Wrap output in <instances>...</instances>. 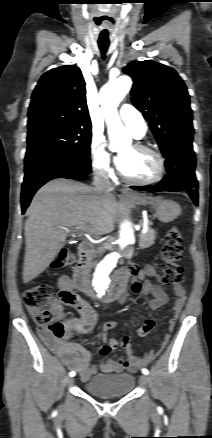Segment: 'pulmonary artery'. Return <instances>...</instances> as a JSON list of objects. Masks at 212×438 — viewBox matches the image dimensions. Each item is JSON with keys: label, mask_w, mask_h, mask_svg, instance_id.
<instances>
[{"label": "pulmonary artery", "mask_w": 212, "mask_h": 438, "mask_svg": "<svg viewBox=\"0 0 212 438\" xmlns=\"http://www.w3.org/2000/svg\"><path fill=\"white\" fill-rule=\"evenodd\" d=\"M119 117L135 138H142L145 136L147 125L138 109L132 105L124 104L120 108Z\"/></svg>", "instance_id": "obj_1"}]
</instances>
